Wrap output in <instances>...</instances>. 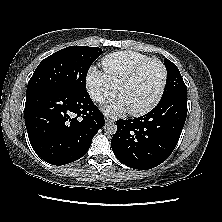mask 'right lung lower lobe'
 I'll use <instances>...</instances> for the list:
<instances>
[{
    "label": "right lung lower lobe",
    "mask_w": 222,
    "mask_h": 222,
    "mask_svg": "<svg viewBox=\"0 0 222 222\" xmlns=\"http://www.w3.org/2000/svg\"><path fill=\"white\" fill-rule=\"evenodd\" d=\"M104 123L88 92L45 88L26 95L25 125L31 146L50 164L64 165L85 155Z\"/></svg>",
    "instance_id": "obj_1"
}]
</instances>
